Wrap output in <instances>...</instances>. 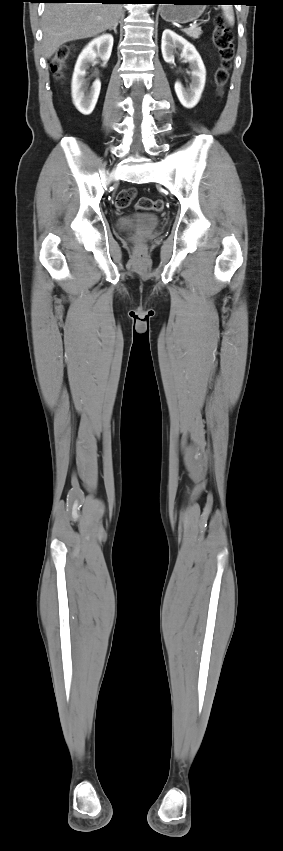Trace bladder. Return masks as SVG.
Here are the masks:
<instances>
[{
	"label": "bladder",
	"mask_w": 283,
	"mask_h": 851,
	"mask_svg": "<svg viewBox=\"0 0 283 851\" xmlns=\"http://www.w3.org/2000/svg\"><path fill=\"white\" fill-rule=\"evenodd\" d=\"M158 222H159V219L154 215H140V216H137V217L122 216V217L118 218V220L116 222V226H117L118 229L125 231V230L130 229L131 227H133L136 224L154 226V225L158 224Z\"/></svg>",
	"instance_id": "bladder-1"
}]
</instances>
